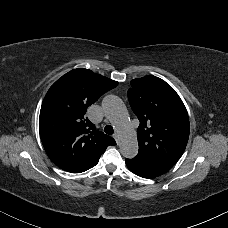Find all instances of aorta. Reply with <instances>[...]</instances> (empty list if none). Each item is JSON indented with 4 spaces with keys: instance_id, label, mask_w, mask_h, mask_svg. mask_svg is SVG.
Masks as SVG:
<instances>
[{
    "instance_id": "1",
    "label": "aorta",
    "mask_w": 228,
    "mask_h": 228,
    "mask_svg": "<svg viewBox=\"0 0 228 228\" xmlns=\"http://www.w3.org/2000/svg\"><path fill=\"white\" fill-rule=\"evenodd\" d=\"M102 107L116 128L121 154L126 158H134L138 153L137 134L130 125L123 101L117 96L108 95L103 99Z\"/></svg>"
}]
</instances>
